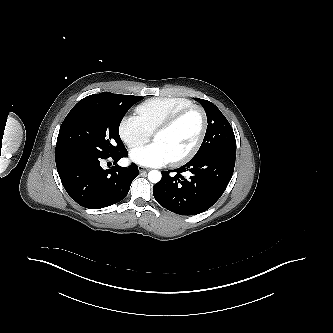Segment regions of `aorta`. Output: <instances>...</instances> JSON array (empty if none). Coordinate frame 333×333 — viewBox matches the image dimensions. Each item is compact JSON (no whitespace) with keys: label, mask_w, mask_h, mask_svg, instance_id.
<instances>
[{"label":"aorta","mask_w":333,"mask_h":333,"mask_svg":"<svg viewBox=\"0 0 333 333\" xmlns=\"http://www.w3.org/2000/svg\"><path fill=\"white\" fill-rule=\"evenodd\" d=\"M161 172L158 170H152L148 173V179L152 183H158L161 180Z\"/></svg>","instance_id":"aorta-1"}]
</instances>
